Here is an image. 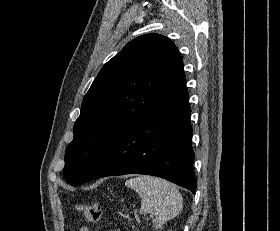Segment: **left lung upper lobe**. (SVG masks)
Segmentation results:
<instances>
[{
    "instance_id": "obj_1",
    "label": "left lung upper lobe",
    "mask_w": 280,
    "mask_h": 231,
    "mask_svg": "<svg viewBox=\"0 0 280 231\" xmlns=\"http://www.w3.org/2000/svg\"><path fill=\"white\" fill-rule=\"evenodd\" d=\"M185 80L174 43L159 34L130 41L100 70L85 95L65 152L64 178L88 179L114 141Z\"/></svg>"
}]
</instances>
